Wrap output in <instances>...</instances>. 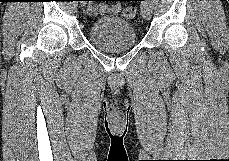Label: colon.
Listing matches in <instances>:
<instances>
[{"instance_id":"5ec220e1","label":"colon","mask_w":229,"mask_h":161,"mask_svg":"<svg viewBox=\"0 0 229 161\" xmlns=\"http://www.w3.org/2000/svg\"><path fill=\"white\" fill-rule=\"evenodd\" d=\"M136 9L134 7H125L122 10V16L126 19H133L136 16Z\"/></svg>"}]
</instances>
